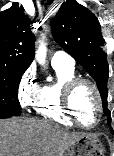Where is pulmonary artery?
<instances>
[{
    "mask_svg": "<svg viewBox=\"0 0 114 156\" xmlns=\"http://www.w3.org/2000/svg\"><path fill=\"white\" fill-rule=\"evenodd\" d=\"M52 66H63L67 68H74L75 60L72 56L64 51H56L51 59Z\"/></svg>",
    "mask_w": 114,
    "mask_h": 156,
    "instance_id": "e3ab8cb5",
    "label": "pulmonary artery"
}]
</instances>
